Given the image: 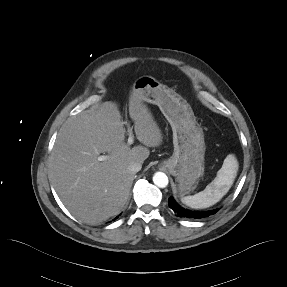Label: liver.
Wrapping results in <instances>:
<instances>
[{
    "label": "liver",
    "instance_id": "1",
    "mask_svg": "<svg viewBox=\"0 0 287 287\" xmlns=\"http://www.w3.org/2000/svg\"><path fill=\"white\" fill-rule=\"evenodd\" d=\"M129 115L144 146L125 143L124 122L112 102L67 120L58 133L49 163L51 182L66 208L86 223L98 224L120 213L135 177L129 165L142 164L148 147L162 143L152 113L133 92ZM105 152L109 158L98 161Z\"/></svg>",
    "mask_w": 287,
    "mask_h": 287
}]
</instances>
